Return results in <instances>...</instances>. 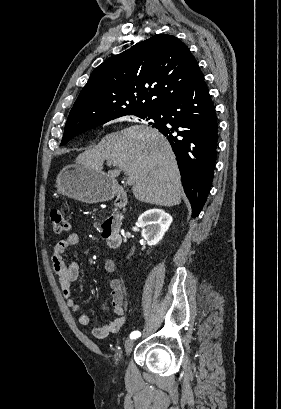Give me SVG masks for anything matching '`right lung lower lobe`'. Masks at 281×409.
<instances>
[{
    "mask_svg": "<svg viewBox=\"0 0 281 409\" xmlns=\"http://www.w3.org/2000/svg\"><path fill=\"white\" fill-rule=\"evenodd\" d=\"M156 113L158 118L153 126L172 146L192 217H196L211 188L218 137L215 109L203 74Z\"/></svg>",
    "mask_w": 281,
    "mask_h": 409,
    "instance_id": "1",
    "label": "right lung lower lobe"
}]
</instances>
